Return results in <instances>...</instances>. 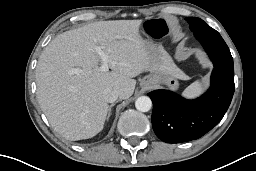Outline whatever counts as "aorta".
Listing matches in <instances>:
<instances>
[{
  "mask_svg": "<svg viewBox=\"0 0 256 171\" xmlns=\"http://www.w3.org/2000/svg\"><path fill=\"white\" fill-rule=\"evenodd\" d=\"M135 107L140 112H148L152 107V101L148 96H141L135 101Z\"/></svg>",
  "mask_w": 256,
  "mask_h": 171,
  "instance_id": "obj_1",
  "label": "aorta"
}]
</instances>
